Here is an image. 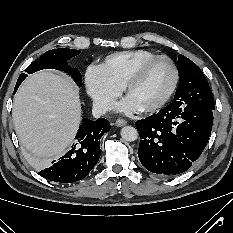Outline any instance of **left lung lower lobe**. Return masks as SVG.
<instances>
[{
  "mask_svg": "<svg viewBox=\"0 0 233 233\" xmlns=\"http://www.w3.org/2000/svg\"><path fill=\"white\" fill-rule=\"evenodd\" d=\"M213 110L170 103L157 114L138 120V157L150 172L171 177L189 169L211 134Z\"/></svg>",
  "mask_w": 233,
  "mask_h": 233,
  "instance_id": "0a47b994",
  "label": "left lung lower lobe"
}]
</instances>
